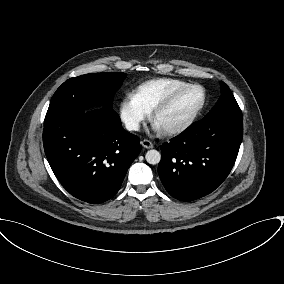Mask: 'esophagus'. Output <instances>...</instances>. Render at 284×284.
Listing matches in <instances>:
<instances>
[{
	"label": "esophagus",
	"instance_id": "esophagus-1",
	"mask_svg": "<svg viewBox=\"0 0 284 284\" xmlns=\"http://www.w3.org/2000/svg\"><path fill=\"white\" fill-rule=\"evenodd\" d=\"M141 145L146 149L153 148V143L150 140H147V139L142 140Z\"/></svg>",
	"mask_w": 284,
	"mask_h": 284
}]
</instances>
